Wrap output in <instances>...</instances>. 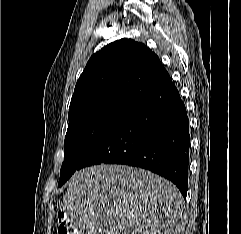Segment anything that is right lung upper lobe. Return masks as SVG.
<instances>
[{"label": "right lung upper lobe", "mask_w": 241, "mask_h": 234, "mask_svg": "<svg viewBox=\"0 0 241 234\" xmlns=\"http://www.w3.org/2000/svg\"><path fill=\"white\" fill-rule=\"evenodd\" d=\"M169 77L158 56L143 43L117 40L89 59L76 83L69 113L108 101L136 104Z\"/></svg>", "instance_id": "cb5924a9"}]
</instances>
